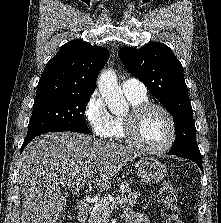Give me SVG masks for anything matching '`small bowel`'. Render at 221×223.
<instances>
[{
    "label": "small bowel",
    "instance_id": "small-bowel-1",
    "mask_svg": "<svg viewBox=\"0 0 221 223\" xmlns=\"http://www.w3.org/2000/svg\"><path fill=\"white\" fill-rule=\"evenodd\" d=\"M124 219L126 223H150L147 216L142 213H138L135 211H127L124 214Z\"/></svg>",
    "mask_w": 221,
    "mask_h": 223
}]
</instances>
